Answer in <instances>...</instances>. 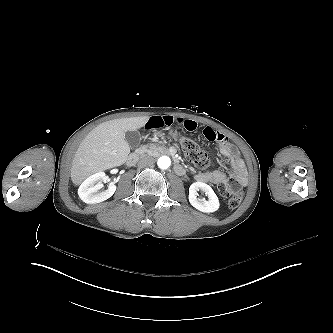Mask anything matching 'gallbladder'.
<instances>
[{"mask_svg": "<svg viewBox=\"0 0 333 333\" xmlns=\"http://www.w3.org/2000/svg\"><path fill=\"white\" fill-rule=\"evenodd\" d=\"M125 140L131 149H136L140 144L141 135L138 131L127 132L125 134Z\"/></svg>", "mask_w": 333, "mask_h": 333, "instance_id": "gallbladder-1", "label": "gallbladder"}]
</instances>
